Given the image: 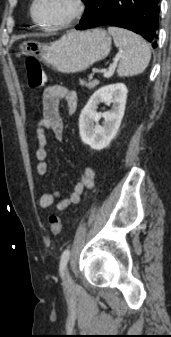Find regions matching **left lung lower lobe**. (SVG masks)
Returning <instances> with one entry per match:
<instances>
[{
  "instance_id": "0a47b994",
  "label": "left lung lower lobe",
  "mask_w": 171,
  "mask_h": 337,
  "mask_svg": "<svg viewBox=\"0 0 171 337\" xmlns=\"http://www.w3.org/2000/svg\"><path fill=\"white\" fill-rule=\"evenodd\" d=\"M160 0H91L76 26L85 30L101 25L117 26L142 35L156 48Z\"/></svg>"
}]
</instances>
